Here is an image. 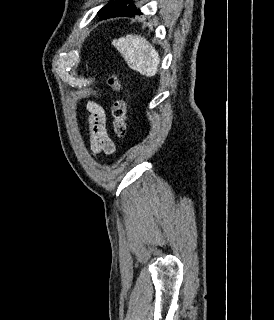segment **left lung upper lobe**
I'll list each match as a JSON object with an SVG mask.
<instances>
[{"label": "left lung upper lobe", "mask_w": 274, "mask_h": 320, "mask_svg": "<svg viewBox=\"0 0 274 320\" xmlns=\"http://www.w3.org/2000/svg\"><path fill=\"white\" fill-rule=\"evenodd\" d=\"M131 1L132 0H117L116 2H110L105 5L98 14L105 15L113 12H122L133 5ZM128 4L129 6H127Z\"/></svg>", "instance_id": "obj_1"}]
</instances>
